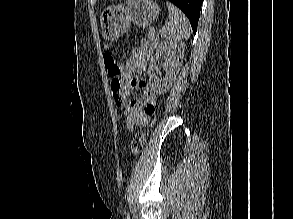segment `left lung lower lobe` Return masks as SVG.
<instances>
[{"label": "left lung lower lobe", "instance_id": "left-lung-lower-lobe-1", "mask_svg": "<svg viewBox=\"0 0 293 219\" xmlns=\"http://www.w3.org/2000/svg\"><path fill=\"white\" fill-rule=\"evenodd\" d=\"M179 7L188 17L193 32L196 33L197 24L200 17V10L203 0H169Z\"/></svg>", "mask_w": 293, "mask_h": 219}]
</instances>
